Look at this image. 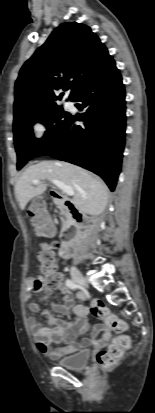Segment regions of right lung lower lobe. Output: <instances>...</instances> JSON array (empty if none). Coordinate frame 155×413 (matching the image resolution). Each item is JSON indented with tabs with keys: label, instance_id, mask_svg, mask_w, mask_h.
I'll return each instance as SVG.
<instances>
[{
	"label": "right lung lower lobe",
	"instance_id": "1",
	"mask_svg": "<svg viewBox=\"0 0 155 413\" xmlns=\"http://www.w3.org/2000/svg\"><path fill=\"white\" fill-rule=\"evenodd\" d=\"M73 101L82 116L69 120L41 154L67 161L101 176L114 191L121 169L125 143V89L114 67L100 79L86 85ZM77 121H83L82 126Z\"/></svg>",
	"mask_w": 155,
	"mask_h": 413
}]
</instances>
